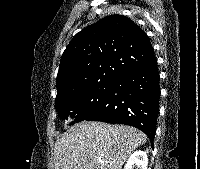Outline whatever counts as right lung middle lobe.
Masks as SVG:
<instances>
[{
  "label": "right lung middle lobe",
  "mask_w": 200,
  "mask_h": 169,
  "mask_svg": "<svg viewBox=\"0 0 200 169\" xmlns=\"http://www.w3.org/2000/svg\"><path fill=\"white\" fill-rule=\"evenodd\" d=\"M115 81L116 79H103L73 95L55 100V108L60 118L65 120L69 126L85 120L105 101Z\"/></svg>",
  "instance_id": "obj_1"
}]
</instances>
